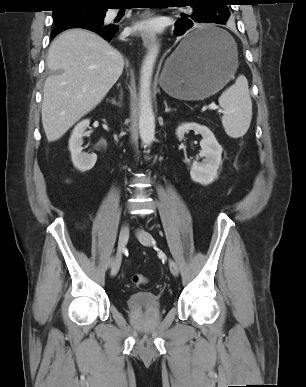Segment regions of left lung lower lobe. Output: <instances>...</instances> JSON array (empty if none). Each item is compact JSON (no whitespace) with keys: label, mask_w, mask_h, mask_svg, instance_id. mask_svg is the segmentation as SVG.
<instances>
[{"label":"left lung lower lobe","mask_w":306,"mask_h":387,"mask_svg":"<svg viewBox=\"0 0 306 387\" xmlns=\"http://www.w3.org/2000/svg\"><path fill=\"white\" fill-rule=\"evenodd\" d=\"M198 22L194 16L181 17L175 23V36L185 34V39L182 42L183 52L191 53L215 43L221 36L214 30H201L189 33L188 30Z\"/></svg>","instance_id":"0a47b994"}]
</instances>
